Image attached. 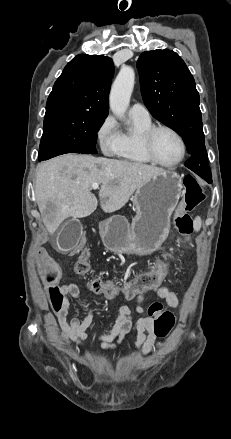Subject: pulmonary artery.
<instances>
[{"label":"pulmonary artery","instance_id":"1","mask_svg":"<svg viewBox=\"0 0 231 439\" xmlns=\"http://www.w3.org/2000/svg\"><path fill=\"white\" fill-rule=\"evenodd\" d=\"M129 115L133 118H138L141 120H150V113L147 108L140 104L134 103L129 109Z\"/></svg>","mask_w":231,"mask_h":439}]
</instances>
